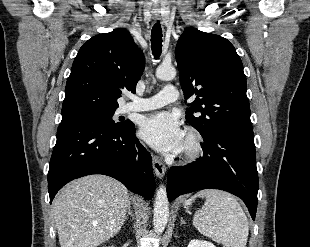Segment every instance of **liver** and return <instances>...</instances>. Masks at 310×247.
I'll use <instances>...</instances> for the list:
<instances>
[{"mask_svg":"<svg viewBox=\"0 0 310 247\" xmlns=\"http://www.w3.org/2000/svg\"><path fill=\"white\" fill-rule=\"evenodd\" d=\"M130 205L127 188L104 175L70 182L56 196L53 217L61 247H97L121 229Z\"/></svg>","mask_w":310,"mask_h":247,"instance_id":"liver-1","label":"liver"}]
</instances>
